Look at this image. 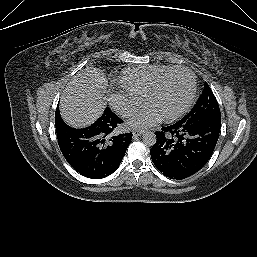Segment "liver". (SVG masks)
I'll use <instances>...</instances> for the list:
<instances>
[{
  "label": "liver",
  "instance_id": "1",
  "mask_svg": "<svg viewBox=\"0 0 257 257\" xmlns=\"http://www.w3.org/2000/svg\"><path fill=\"white\" fill-rule=\"evenodd\" d=\"M107 80L103 71L89 67L77 73L68 83L60 100V112L71 126L81 128L92 124L103 113Z\"/></svg>",
  "mask_w": 257,
  "mask_h": 257
}]
</instances>
